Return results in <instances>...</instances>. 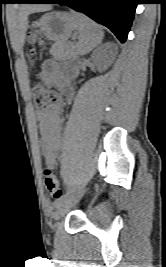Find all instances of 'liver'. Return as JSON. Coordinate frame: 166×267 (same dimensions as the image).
I'll return each instance as SVG.
<instances>
[{
  "label": "liver",
  "mask_w": 166,
  "mask_h": 267,
  "mask_svg": "<svg viewBox=\"0 0 166 267\" xmlns=\"http://www.w3.org/2000/svg\"><path fill=\"white\" fill-rule=\"evenodd\" d=\"M51 9L52 7L49 5H31V6H23L20 8L18 14L17 29L20 31L18 39L21 45H23L25 39V32L28 26V15L34 12H43Z\"/></svg>",
  "instance_id": "6515ba94"
}]
</instances>
